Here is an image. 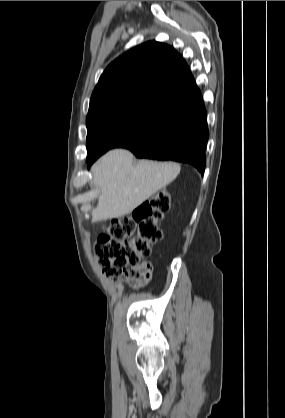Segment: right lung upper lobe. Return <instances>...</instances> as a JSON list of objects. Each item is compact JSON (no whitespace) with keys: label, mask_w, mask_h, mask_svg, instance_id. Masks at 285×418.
I'll list each match as a JSON object with an SVG mask.
<instances>
[{"label":"right lung upper lobe","mask_w":285,"mask_h":418,"mask_svg":"<svg viewBox=\"0 0 285 418\" xmlns=\"http://www.w3.org/2000/svg\"><path fill=\"white\" fill-rule=\"evenodd\" d=\"M199 93L183 57L169 45L149 41L105 69L93 91L88 114L133 100L173 108Z\"/></svg>","instance_id":"1"}]
</instances>
